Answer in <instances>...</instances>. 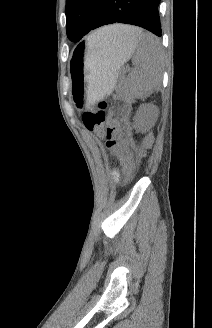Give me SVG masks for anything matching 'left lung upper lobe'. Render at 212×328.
I'll list each match as a JSON object with an SVG mask.
<instances>
[{"label": "left lung upper lobe", "instance_id": "1", "mask_svg": "<svg viewBox=\"0 0 212 328\" xmlns=\"http://www.w3.org/2000/svg\"><path fill=\"white\" fill-rule=\"evenodd\" d=\"M103 0H66L67 36L79 42L91 31Z\"/></svg>", "mask_w": 212, "mask_h": 328}]
</instances>
